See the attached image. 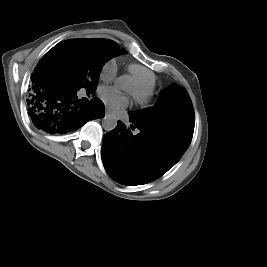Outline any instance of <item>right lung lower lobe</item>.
Returning a JSON list of instances; mask_svg holds the SVG:
<instances>
[{"instance_id": "98d812e1", "label": "right lung lower lobe", "mask_w": 267, "mask_h": 267, "mask_svg": "<svg viewBox=\"0 0 267 267\" xmlns=\"http://www.w3.org/2000/svg\"><path fill=\"white\" fill-rule=\"evenodd\" d=\"M33 89L29 115L34 125L48 133H67L82 127L89 120L105 115L103 103L93 98L80 102L65 80L40 69L32 74ZM29 102V100H28Z\"/></svg>"}]
</instances>
